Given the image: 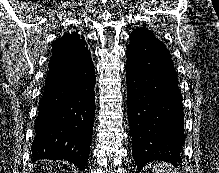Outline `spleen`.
I'll use <instances>...</instances> for the list:
<instances>
[{"mask_svg": "<svg viewBox=\"0 0 219 173\" xmlns=\"http://www.w3.org/2000/svg\"><path fill=\"white\" fill-rule=\"evenodd\" d=\"M152 172L154 173H178L176 170H173V168L165 163H155L151 165Z\"/></svg>", "mask_w": 219, "mask_h": 173, "instance_id": "3e777b00", "label": "spleen"}]
</instances>
